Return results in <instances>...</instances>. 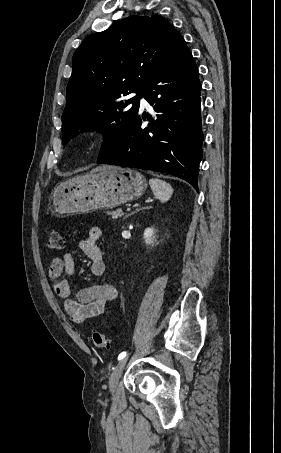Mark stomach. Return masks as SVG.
<instances>
[{"label":"stomach","mask_w":281,"mask_h":453,"mask_svg":"<svg viewBox=\"0 0 281 453\" xmlns=\"http://www.w3.org/2000/svg\"><path fill=\"white\" fill-rule=\"evenodd\" d=\"M140 172L121 166H107L97 172H84L57 184L50 200L57 214H83L99 208H113L136 200L146 190Z\"/></svg>","instance_id":"1"}]
</instances>
